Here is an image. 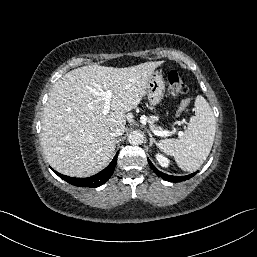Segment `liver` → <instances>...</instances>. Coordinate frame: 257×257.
<instances>
[{"instance_id": "1", "label": "liver", "mask_w": 257, "mask_h": 257, "mask_svg": "<svg viewBox=\"0 0 257 257\" xmlns=\"http://www.w3.org/2000/svg\"><path fill=\"white\" fill-rule=\"evenodd\" d=\"M162 61L114 68H76L53 86L42 118L41 145L48 163L58 172L89 177L105 168L115 151L110 132L125 128L126 114L139 105L150 76ZM111 90V111L96 92Z\"/></svg>"}]
</instances>
